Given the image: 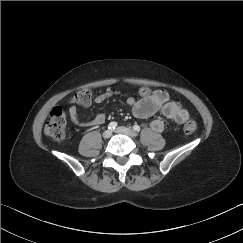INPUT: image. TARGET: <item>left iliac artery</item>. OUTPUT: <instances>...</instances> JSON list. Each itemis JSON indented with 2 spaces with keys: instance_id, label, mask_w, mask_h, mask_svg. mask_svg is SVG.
<instances>
[{
  "instance_id": "obj_1",
  "label": "left iliac artery",
  "mask_w": 243,
  "mask_h": 243,
  "mask_svg": "<svg viewBox=\"0 0 243 243\" xmlns=\"http://www.w3.org/2000/svg\"><path fill=\"white\" fill-rule=\"evenodd\" d=\"M133 130L136 131V132H139L140 131V127L138 125H135L133 127Z\"/></svg>"
}]
</instances>
